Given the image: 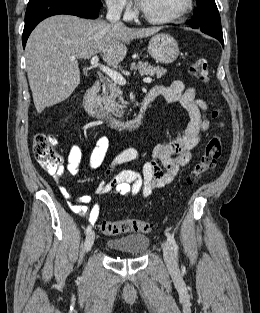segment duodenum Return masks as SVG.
<instances>
[{
	"mask_svg": "<svg viewBox=\"0 0 260 313\" xmlns=\"http://www.w3.org/2000/svg\"><path fill=\"white\" fill-rule=\"evenodd\" d=\"M101 82L97 80L91 87H89L84 95V108L86 112L96 120H99L105 124L116 129L125 131H135L143 124L146 111L149 105L152 103V99L147 96L143 99L140 105L138 115L127 122H119L112 118L107 111L98 104V94L100 91Z\"/></svg>",
	"mask_w": 260,
	"mask_h": 313,
	"instance_id": "1",
	"label": "duodenum"
}]
</instances>
